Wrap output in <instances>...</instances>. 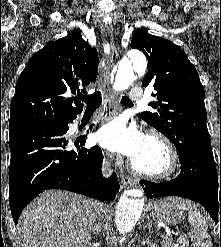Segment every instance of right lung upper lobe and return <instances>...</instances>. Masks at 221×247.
<instances>
[{
    "instance_id": "1",
    "label": "right lung upper lobe",
    "mask_w": 221,
    "mask_h": 247,
    "mask_svg": "<svg viewBox=\"0 0 221 247\" xmlns=\"http://www.w3.org/2000/svg\"><path fill=\"white\" fill-rule=\"evenodd\" d=\"M98 74V53L78 30L47 44L27 62L10 106V126L59 124L76 118V95Z\"/></svg>"
}]
</instances>
